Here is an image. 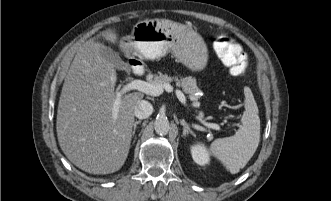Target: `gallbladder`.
I'll use <instances>...</instances> for the list:
<instances>
[{
	"label": "gallbladder",
	"instance_id": "gallbladder-1",
	"mask_svg": "<svg viewBox=\"0 0 331 201\" xmlns=\"http://www.w3.org/2000/svg\"><path fill=\"white\" fill-rule=\"evenodd\" d=\"M100 54L103 58L109 61L116 69H125L126 63H124L119 55L113 51L110 47L100 44Z\"/></svg>",
	"mask_w": 331,
	"mask_h": 201
}]
</instances>
